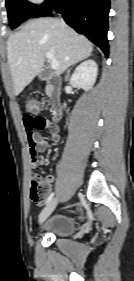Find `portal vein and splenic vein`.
<instances>
[{
	"label": "portal vein and splenic vein",
	"mask_w": 134,
	"mask_h": 281,
	"mask_svg": "<svg viewBox=\"0 0 134 281\" xmlns=\"http://www.w3.org/2000/svg\"><path fill=\"white\" fill-rule=\"evenodd\" d=\"M46 58L50 61L51 68L53 70L57 69L58 61L54 58L53 54L50 52L46 53Z\"/></svg>",
	"instance_id": "18ae733b"
}]
</instances>
